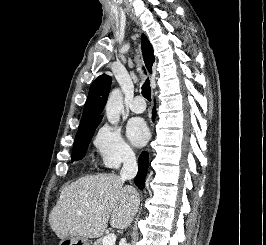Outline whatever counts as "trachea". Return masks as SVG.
<instances>
[{
    "instance_id": "trachea-1",
    "label": "trachea",
    "mask_w": 266,
    "mask_h": 245,
    "mask_svg": "<svg viewBox=\"0 0 266 245\" xmlns=\"http://www.w3.org/2000/svg\"><path fill=\"white\" fill-rule=\"evenodd\" d=\"M142 95L143 97L147 98V100L151 101V87H150V81L148 78L142 86Z\"/></svg>"
}]
</instances>
